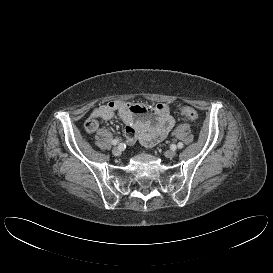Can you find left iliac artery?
I'll return each instance as SVG.
<instances>
[{"mask_svg": "<svg viewBox=\"0 0 273 273\" xmlns=\"http://www.w3.org/2000/svg\"><path fill=\"white\" fill-rule=\"evenodd\" d=\"M177 147H178L179 149L183 148V143L179 142V143L177 144Z\"/></svg>", "mask_w": 273, "mask_h": 273, "instance_id": "obj_1", "label": "left iliac artery"}]
</instances>
